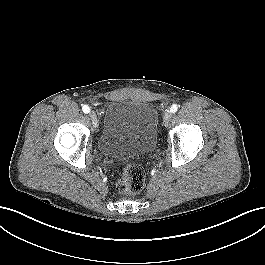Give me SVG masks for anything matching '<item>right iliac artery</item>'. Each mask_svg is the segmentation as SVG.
<instances>
[{
	"mask_svg": "<svg viewBox=\"0 0 265 265\" xmlns=\"http://www.w3.org/2000/svg\"><path fill=\"white\" fill-rule=\"evenodd\" d=\"M82 110H83L84 113H89L90 112V108L87 105H84L82 107Z\"/></svg>",
	"mask_w": 265,
	"mask_h": 265,
	"instance_id": "1",
	"label": "right iliac artery"
}]
</instances>
